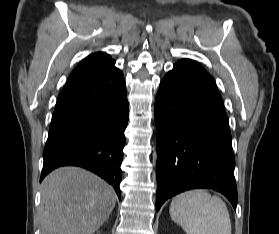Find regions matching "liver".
<instances>
[{
  "label": "liver",
  "instance_id": "obj_1",
  "mask_svg": "<svg viewBox=\"0 0 279 234\" xmlns=\"http://www.w3.org/2000/svg\"><path fill=\"white\" fill-rule=\"evenodd\" d=\"M116 193L100 177L78 167H62L42 183L41 234H92L108 219Z\"/></svg>",
  "mask_w": 279,
  "mask_h": 234
}]
</instances>
